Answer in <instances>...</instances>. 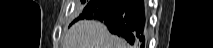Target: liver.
Masks as SVG:
<instances>
[{"label": "liver", "mask_w": 213, "mask_h": 48, "mask_svg": "<svg viewBox=\"0 0 213 48\" xmlns=\"http://www.w3.org/2000/svg\"><path fill=\"white\" fill-rule=\"evenodd\" d=\"M63 48H129V45L123 39L111 35L104 24L81 20L67 31Z\"/></svg>", "instance_id": "1"}]
</instances>
